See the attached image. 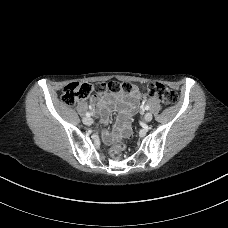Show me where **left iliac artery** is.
Instances as JSON below:
<instances>
[{"mask_svg": "<svg viewBox=\"0 0 228 228\" xmlns=\"http://www.w3.org/2000/svg\"><path fill=\"white\" fill-rule=\"evenodd\" d=\"M149 108H150V107H149L148 105L145 106V110H149Z\"/></svg>", "mask_w": 228, "mask_h": 228, "instance_id": "1", "label": "left iliac artery"}]
</instances>
